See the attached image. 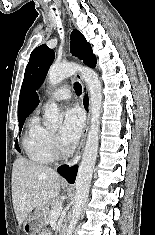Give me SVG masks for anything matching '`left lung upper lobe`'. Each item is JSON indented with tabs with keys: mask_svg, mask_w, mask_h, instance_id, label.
Wrapping results in <instances>:
<instances>
[{
	"mask_svg": "<svg viewBox=\"0 0 155 235\" xmlns=\"http://www.w3.org/2000/svg\"><path fill=\"white\" fill-rule=\"evenodd\" d=\"M70 39L72 55L79 57L88 66L95 67L96 57L92 53L91 46L84 36L75 29L72 31ZM54 58V51L45 44L32 51L29 63L25 69L24 80L20 91L19 106L23 105L26 96L32 90L38 89L43 83Z\"/></svg>",
	"mask_w": 155,
	"mask_h": 235,
	"instance_id": "obj_1",
	"label": "left lung upper lobe"
}]
</instances>
